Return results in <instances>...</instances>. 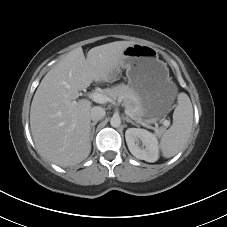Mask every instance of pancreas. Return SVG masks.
<instances>
[{
    "mask_svg": "<svg viewBox=\"0 0 227 227\" xmlns=\"http://www.w3.org/2000/svg\"><path fill=\"white\" fill-rule=\"evenodd\" d=\"M112 99H121L126 109L136 118H141V105L135 92L125 84H119L104 91Z\"/></svg>",
    "mask_w": 227,
    "mask_h": 227,
    "instance_id": "1",
    "label": "pancreas"
}]
</instances>
